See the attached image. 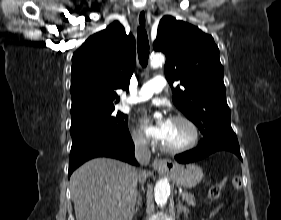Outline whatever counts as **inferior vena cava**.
I'll return each instance as SVG.
<instances>
[{
  "instance_id": "obj_1",
  "label": "inferior vena cava",
  "mask_w": 281,
  "mask_h": 220,
  "mask_svg": "<svg viewBox=\"0 0 281 220\" xmlns=\"http://www.w3.org/2000/svg\"><path fill=\"white\" fill-rule=\"evenodd\" d=\"M135 157L137 161L142 165L145 166L149 163L151 158V152L149 147L144 139H135ZM145 171H140L139 179L145 175Z\"/></svg>"
}]
</instances>
